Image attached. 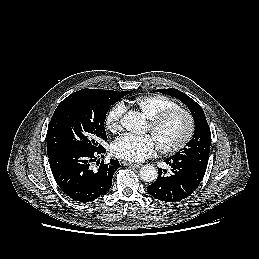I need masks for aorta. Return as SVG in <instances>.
I'll list each match as a JSON object with an SVG mask.
<instances>
[{
  "label": "aorta",
  "mask_w": 259,
  "mask_h": 259,
  "mask_svg": "<svg viewBox=\"0 0 259 259\" xmlns=\"http://www.w3.org/2000/svg\"><path fill=\"white\" fill-rule=\"evenodd\" d=\"M122 126L133 134H144L147 128V123L144 116L136 111H129L121 119ZM140 177L145 182H153L158 177L156 168L147 164L140 169Z\"/></svg>",
  "instance_id": "1"
}]
</instances>
